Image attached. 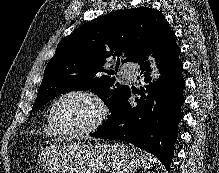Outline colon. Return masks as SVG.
<instances>
[{
  "instance_id": "1",
  "label": "colon",
  "mask_w": 219,
  "mask_h": 173,
  "mask_svg": "<svg viewBox=\"0 0 219 173\" xmlns=\"http://www.w3.org/2000/svg\"><path fill=\"white\" fill-rule=\"evenodd\" d=\"M26 173H40L38 168L36 167H29L26 171Z\"/></svg>"
}]
</instances>
